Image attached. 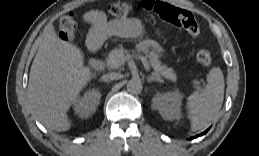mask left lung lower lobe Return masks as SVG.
Here are the masks:
<instances>
[{
	"label": "left lung lower lobe",
	"mask_w": 259,
	"mask_h": 156,
	"mask_svg": "<svg viewBox=\"0 0 259 156\" xmlns=\"http://www.w3.org/2000/svg\"><path fill=\"white\" fill-rule=\"evenodd\" d=\"M209 129H207L205 132H203L202 134H199L198 136H201L203 134H205ZM197 136H194L193 138H196Z\"/></svg>",
	"instance_id": "1"
}]
</instances>
